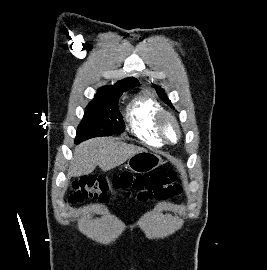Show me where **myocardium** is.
<instances>
[{
    "label": "myocardium",
    "mask_w": 267,
    "mask_h": 270,
    "mask_svg": "<svg viewBox=\"0 0 267 270\" xmlns=\"http://www.w3.org/2000/svg\"><path fill=\"white\" fill-rule=\"evenodd\" d=\"M167 120H170L175 128H176V138L174 140H171L168 135L166 134L165 131V122ZM155 129L157 134L159 135V137L161 138V140L164 143L167 144H175L179 141V139L181 138V126L180 123L178 122V119L176 118V116L165 109H161L155 117Z\"/></svg>",
    "instance_id": "1"
}]
</instances>
